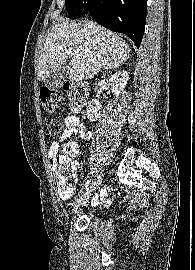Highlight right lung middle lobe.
<instances>
[{
	"label": "right lung middle lobe",
	"mask_w": 195,
	"mask_h": 270,
	"mask_svg": "<svg viewBox=\"0 0 195 270\" xmlns=\"http://www.w3.org/2000/svg\"><path fill=\"white\" fill-rule=\"evenodd\" d=\"M88 0H66V9L71 19H76L88 11Z\"/></svg>",
	"instance_id": "right-lung-middle-lobe-1"
}]
</instances>
